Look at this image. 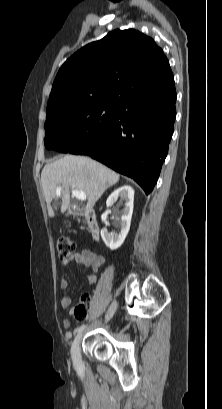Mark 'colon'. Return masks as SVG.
Here are the masks:
<instances>
[{
	"instance_id": "5ec220e1",
	"label": "colon",
	"mask_w": 222,
	"mask_h": 409,
	"mask_svg": "<svg viewBox=\"0 0 222 409\" xmlns=\"http://www.w3.org/2000/svg\"><path fill=\"white\" fill-rule=\"evenodd\" d=\"M75 243L66 237H60L57 240V252L61 260L68 261L75 255ZM90 310V303L88 298L83 299L74 309V316L77 319H84Z\"/></svg>"
}]
</instances>
